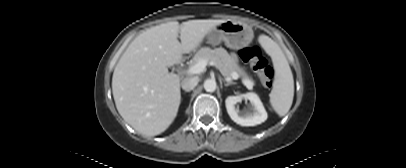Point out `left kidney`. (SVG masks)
<instances>
[{
    "mask_svg": "<svg viewBox=\"0 0 406 168\" xmlns=\"http://www.w3.org/2000/svg\"><path fill=\"white\" fill-rule=\"evenodd\" d=\"M247 99L251 103L250 111L240 112L235 105ZM225 105L230 118L241 126H255L267 120V112L257 94L249 92L237 96H228Z\"/></svg>",
    "mask_w": 406,
    "mask_h": 168,
    "instance_id": "1",
    "label": "left kidney"
}]
</instances>
